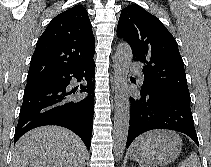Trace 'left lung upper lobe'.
I'll list each match as a JSON object with an SVG mask.
<instances>
[{
    "mask_svg": "<svg viewBox=\"0 0 211 167\" xmlns=\"http://www.w3.org/2000/svg\"><path fill=\"white\" fill-rule=\"evenodd\" d=\"M117 34L131 46L134 61L143 64L142 89L190 104L177 42L157 17L138 5H128L121 11Z\"/></svg>",
    "mask_w": 211,
    "mask_h": 167,
    "instance_id": "5c2ea615",
    "label": "left lung upper lobe"
}]
</instances>
